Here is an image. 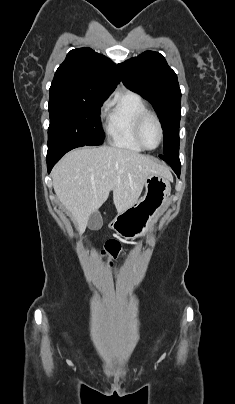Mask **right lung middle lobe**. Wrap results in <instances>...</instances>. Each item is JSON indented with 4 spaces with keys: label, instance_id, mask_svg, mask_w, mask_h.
<instances>
[{
    "label": "right lung middle lobe",
    "instance_id": "obj_1",
    "mask_svg": "<svg viewBox=\"0 0 235 404\" xmlns=\"http://www.w3.org/2000/svg\"><path fill=\"white\" fill-rule=\"evenodd\" d=\"M104 100L50 90L48 146L70 141L84 146L102 144L105 136L101 129L100 107Z\"/></svg>",
    "mask_w": 235,
    "mask_h": 404
}]
</instances>
